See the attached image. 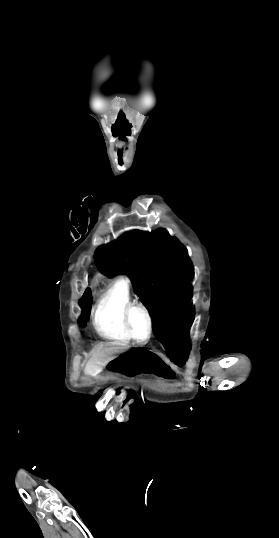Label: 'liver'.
<instances>
[{
	"instance_id": "obj_1",
	"label": "liver",
	"mask_w": 279,
	"mask_h": 538,
	"mask_svg": "<svg viewBox=\"0 0 279 538\" xmlns=\"http://www.w3.org/2000/svg\"><path fill=\"white\" fill-rule=\"evenodd\" d=\"M108 346H121V344H116V342H110ZM118 350L119 348H106V350H104V354H115V352H118ZM111 360H114V358H111ZM97 368H100V366H96L95 358H91L88 364H86L85 372L86 374H92V372H94V370H97Z\"/></svg>"
}]
</instances>
